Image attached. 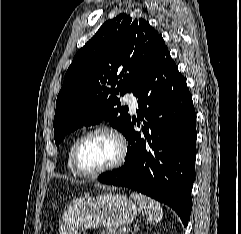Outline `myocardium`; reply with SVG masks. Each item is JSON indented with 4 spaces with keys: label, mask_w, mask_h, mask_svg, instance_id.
I'll return each instance as SVG.
<instances>
[{
    "label": "myocardium",
    "mask_w": 241,
    "mask_h": 234,
    "mask_svg": "<svg viewBox=\"0 0 241 234\" xmlns=\"http://www.w3.org/2000/svg\"><path fill=\"white\" fill-rule=\"evenodd\" d=\"M98 133H106V134L112 136L116 140V142L118 143V147H119L118 156H117L116 160L113 163L109 164L108 166H105V167L100 168L95 171H86L80 165L79 151H80L82 144L89 137H91L95 134H98ZM127 152H128L127 143H126L125 139L123 138V136L118 131H116L115 129L108 127V126H98V127H95L93 129L85 132L83 135H81L77 139V141L73 147V151H72V163H73L74 169L76 170V172L79 175L84 176V177H97L99 175L110 172V171L115 170L118 167H120L126 160Z\"/></svg>",
    "instance_id": "f54148a6"
}]
</instances>
